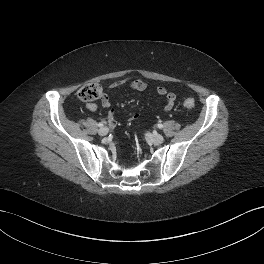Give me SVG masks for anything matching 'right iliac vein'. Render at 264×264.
<instances>
[{
  "label": "right iliac vein",
  "mask_w": 264,
  "mask_h": 264,
  "mask_svg": "<svg viewBox=\"0 0 264 264\" xmlns=\"http://www.w3.org/2000/svg\"><path fill=\"white\" fill-rule=\"evenodd\" d=\"M109 132V129L107 127H101L98 131L100 136H105L107 135Z\"/></svg>",
  "instance_id": "63e3f726"
}]
</instances>
